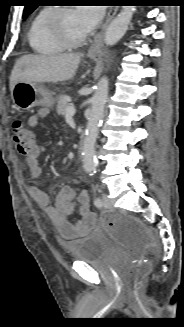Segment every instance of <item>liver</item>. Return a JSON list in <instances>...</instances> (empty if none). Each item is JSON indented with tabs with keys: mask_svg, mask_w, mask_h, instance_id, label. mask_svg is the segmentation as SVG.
<instances>
[{
	"mask_svg": "<svg viewBox=\"0 0 184 327\" xmlns=\"http://www.w3.org/2000/svg\"><path fill=\"white\" fill-rule=\"evenodd\" d=\"M81 54L24 55L11 72L10 91L17 82H62L71 79L79 66Z\"/></svg>",
	"mask_w": 184,
	"mask_h": 327,
	"instance_id": "liver-1",
	"label": "liver"
}]
</instances>
